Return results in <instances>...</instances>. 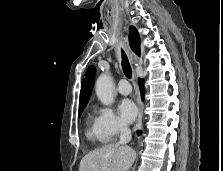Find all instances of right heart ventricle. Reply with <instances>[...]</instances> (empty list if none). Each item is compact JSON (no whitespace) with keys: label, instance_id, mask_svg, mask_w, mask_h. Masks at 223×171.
I'll list each match as a JSON object with an SVG mask.
<instances>
[{"label":"right heart ventricle","instance_id":"right-heart-ventricle-1","mask_svg":"<svg viewBox=\"0 0 223 171\" xmlns=\"http://www.w3.org/2000/svg\"><path fill=\"white\" fill-rule=\"evenodd\" d=\"M86 124V136L89 140L96 143H103L106 141L98 130L96 117H94L92 114H88Z\"/></svg>","mask_w":223,"mask_h":171}]
</instances>
